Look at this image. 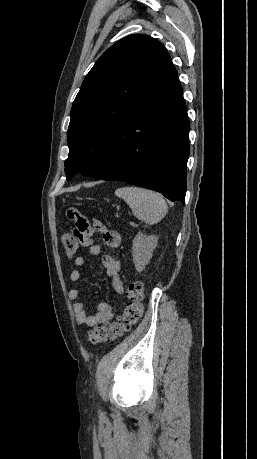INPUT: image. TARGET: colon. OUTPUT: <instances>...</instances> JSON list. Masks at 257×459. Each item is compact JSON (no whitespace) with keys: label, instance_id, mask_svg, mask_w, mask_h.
Here are the masks:
<instances>
[{"label":"colon","instance_id":"colon-1","mask_svg":"<svg viewBox=\"0 0 257 459\" xmlns=\"http://www.w3.org/2000/svg\"><path fill=\"white\" fill-rule=\"evenodd\" d=\"M62 244L68 257H73L78 245L74 236H68L67 232L62 236ZM128 302L122 315L112 323H106L95 327L88 335V342L92 345L114 341L129 332L139 321L143 314L144 286L141 282L134 281L126 290Z\"/></svg>","mask_w":257,"mask_h":459}]
</instances>
